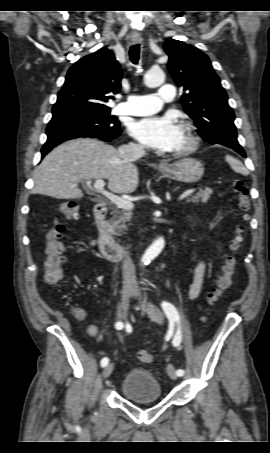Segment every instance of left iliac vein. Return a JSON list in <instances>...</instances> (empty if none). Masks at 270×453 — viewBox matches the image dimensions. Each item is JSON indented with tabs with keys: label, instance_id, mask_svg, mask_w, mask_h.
I'll use <instances>...</instances> for the list:
<instances>
[{
	"label": "left iliac vein",
	"instance_id": "obj_1",
	"mask_svg": "<svg viewBox=\"0 0 270 453\" xmlns=\"http://www.w3.org/2000/svg\"><path fill=\"white\" fill-rule=\"evenodd\" d=\"M132 295L138 299L143 300V302H144L143 307L146 310L148 316L152 320H154L155 322H157L159 324H163V322H164L163 313L157 307H155L153 304L147 302L146 299L143 298L140 290L138 289V287L135 284L132 287ZM167 374L171 379H173V380L177 379V374H176L175 368L172 364L167 365Z\"/></svg>",
	"mask_w": 270,
	"mask_h": 453
}]
</instances>
